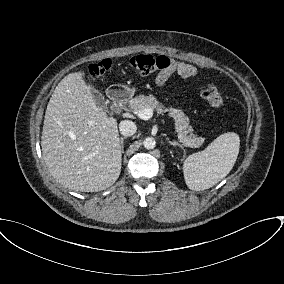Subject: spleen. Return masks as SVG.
<instances>
[{"label":"spleen","mask_w":284,"mask_h":284,"mask_svg":"<svg viewBox=\"0 0 284 284\" xmlns=\"http://www.w3.org/2000/svg\"><path fill=\"white\" fill-rule=\"evenodd\" d=\"M240 148L234 132L218 136L205 150L189 155L183 174L189 189L200 191L216 185L232 170Z\"/></svg>","instance_id":"obj_1"}]
</instances>
